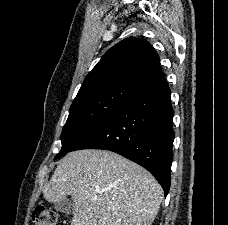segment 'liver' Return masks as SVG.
<instances>
[{
  "label": "liver",
  "instance_id": "1",
  "mask_svg": "<svg viewBox=\"0 0 228 225\" xmlns=\"http://www.w3.org/2000/svg\"><path fill=\"white\" fill-rule=\"evenodd\" d=\"M43 193L48 203L71 195V225H152L163 199L146 169L100 149L68 153Z\"/></svg>",
  "mask_w": 228,
  "mask_h": 225
}]
</instances>
